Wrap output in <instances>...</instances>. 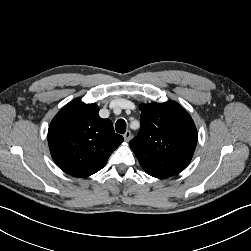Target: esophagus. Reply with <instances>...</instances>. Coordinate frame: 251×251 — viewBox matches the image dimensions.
Masks as SVG:
<instances>
[{
    "instance_id": "34e87169",
    "label": "esophagus",
    "mask_w": 251,
    "mask_h": 251,
    "mask_svg": "<svg viewBox=\"0 0 251 251\" xmlns=\"http://www.w3.org/2000/svg\"><path fill=\"white\" fill-rule=\"evenodd\" d=\"M131 137H132L131 132H130V131H126L125 134H124V139H125V141H126V142H129L130 139H131Z\"/></svg>"
}]
</instances>
